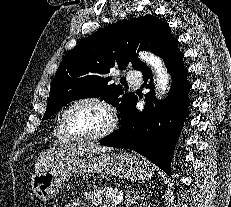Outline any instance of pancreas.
<instances>
[{
    "label": "pancreas",
    "instance_id": "obj_1",
    "mask_svg": "<svg viewBox=\"0 0 231 207\" xmlns=\"http://www.w3.org/2000/svg\"><path fill=\"white\" fill-rule=\"evenodd\" d=\"M117 189L113 187H100L86 192L85 197L93 204L100 207H110V203L116 200Z\"/></svg>",
    "mask_w": 231,
    "mask_h": 207
}]
</instances>
